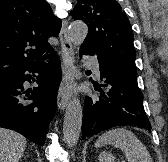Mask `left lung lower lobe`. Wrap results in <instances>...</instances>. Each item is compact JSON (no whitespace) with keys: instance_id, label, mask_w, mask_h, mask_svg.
<instances>
[{"instance_id":"left-lung-lower-lobe-1","label":"left lung lower lobe","mask_w":168,"mask_h":162,"mask_svg":"<svg viewBox=\"0 0 168 162\" xmlns=\"http://www.w3.org/2000/svg\"><path fill=\"white\" fill-rule=\"evenodd\" d=\"M94 54L88 49L80 50V55ZM98 61L103 84L94 87L101 94L86 96L82 139L116 126L132 125L151 131L143 107V94L137 84V74L119 68L101 57H98Z\"/></svg>"}]
</instances>
